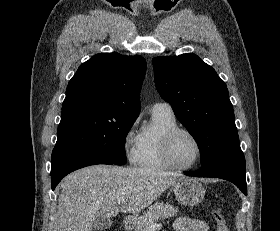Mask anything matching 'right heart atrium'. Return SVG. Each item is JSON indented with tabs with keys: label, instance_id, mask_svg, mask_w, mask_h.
Here are the masks:
<instances>
[{
	"label": "right heart atrium",
	"instance_id": "1",
	"mask_svg": "<svg viewBox=\"0 0 280 231\" xmlns=\"http://www.w3.org/2000/svg\"><path fill=\"white\" fill-rule=\"evenodd\" d=\"M137 123L134 121L130 124L123 135V148L126 158L131 163L138 162V156L141 146V135L136 133Z\"/></svg>",
	"mask_w": 280,
	"mask_h": 231
}]
</instances>
